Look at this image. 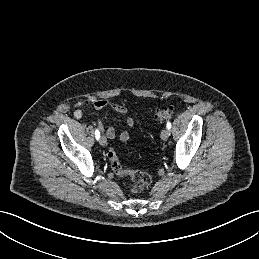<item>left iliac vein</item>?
I'll list each match as a JSON object with an SVG mask.
<instances>
[{
  "label": "left iliac vein",
  "instance_id": "1",
  "mask_svg": "<svg viewBox=\"0 0 259 259\" xmlns=\"http://www.w3.org/2000/svg\"><path fill=\"white\" fill-rule=\"evenodd\" d=\"M160 136H161V139L163 141H166L168 139V137H169V130L168 129H163L161 131V135Z\"/></svg>",
  "mask_w": 259,
  "mask_h": 259
}]
</instances>
